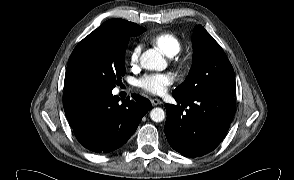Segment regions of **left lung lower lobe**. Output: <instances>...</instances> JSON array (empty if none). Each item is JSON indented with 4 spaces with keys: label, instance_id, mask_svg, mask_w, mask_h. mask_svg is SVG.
Returning a JSON list of instances; mask_svg holds the SVG:
<instances>
[{
    "label": "left lung lower lobe",
    "instance_id": "0a47b994",
    "mask_svg": "<svg viewBox=\"0 0 294 180\" xmlns=\"http://www.w3.org/2000/svg\"><path fill=\"white\" fill-rule=\"evenodd\" d=\"M173 96L178 105L165 104L164 132L170 146L192 158L213 151L230 127L236 109L235 97L218 94ZM186 106L188 109L183 111Z\"/></svg>",
    "mask_w": 294,
    "mask_h": 180
}]
</instances>
